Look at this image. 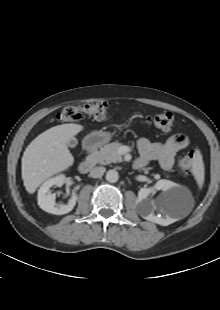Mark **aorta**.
<instances>
[{
    "mask_svg": "<svg viewBox=\"0 0 220 310\" xmlns=\"http://www.w3.org/2000/svg\"><path fill=\"white\" fill-rule=\"evenodd\" d=\"M119 179V174L116 170L112 169L106 173V180L110 183H115Z\"/></svg>",
    "mask_w": 220,
    "mask_h": 310,
    "instance_id": "1",
    "label": "aorta"
}]
</instances>
